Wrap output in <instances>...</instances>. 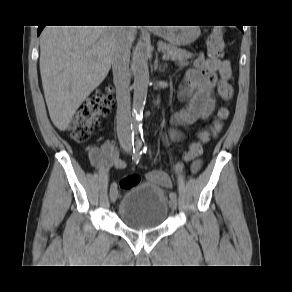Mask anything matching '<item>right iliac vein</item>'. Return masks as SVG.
Segmentation results:
<instances>
[{"label": "right iliac vein", "mask_w": 292, "mask_h": 292, "mask_svg": "<svg viewBox=\"0 0 292 292\" xmlns=\"http://www.w3.org/2000/svg\"><path fill=\"white\" fill-rule=\"evenodd\" d=\"M118 191L116 189L110 191V200L114 203L117 200Z\"/></svg>", "instance_id": "1"}]
</instances>
